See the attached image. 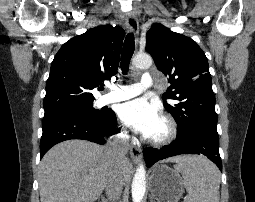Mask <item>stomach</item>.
I'll return each mask as SVG.
<instances>
[{"label": "stomach", "instance_id": "1", "mask_svg": "<svg viewBox=\"0 0 255 202\" xmlns=\"http://www.w3.org/2000/svg\"><path fill=\"white\" fill-rule=\"evenodd\" d=\"M149 188L158 202H178L184 192V181L176 170L159 164L152 171Z\"/></svg>", "mask_w": 255, "mask_h": 202}]
</instances>
